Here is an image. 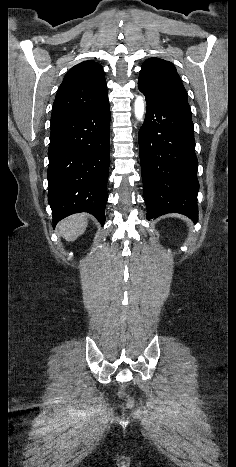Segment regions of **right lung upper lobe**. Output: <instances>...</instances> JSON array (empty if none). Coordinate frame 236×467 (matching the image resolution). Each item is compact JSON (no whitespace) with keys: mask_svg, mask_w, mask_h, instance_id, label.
Returning <instances> with one entry per match:
<instances>
[{"mask_svg":"<svg viewBox=\"0 0 236 467\" xmlns=\"http://www.w3.org/2000/svg\"><path fill=\"white\" fill-rule=\"evenodd\" d=\"M107 99L102 66L93 60L81 62L66 73L58 89L52 109L51 126L78 117Z\"/></svg>","mask_w":236,"mask_h":467,"instance_id":"1","label":"right lung upper lobe"}]
</instances>
